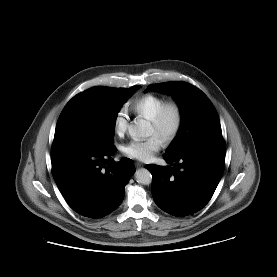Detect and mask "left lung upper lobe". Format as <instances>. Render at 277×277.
<instances>
[{
  "mask_svg": "<svg viewBox=\"0 0 277 277\" xmlns=\"http://www.w3.org/2000/svg\"><path fill=\"white\" fill-rule=\"evenodd\" d=\"M150 90L171 94L177 101L182 115L179 132L164 157L175 159L204 140L222 138L214 106L195 86L185 82H165L149 85L146 92Z\"/></svg>",
  "mask_w": 277,
  "mask_h": 277,
  "instance_id": "obj_1",
  "label": "left lung upper lobe"
}]
</instances>
